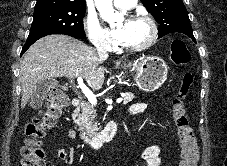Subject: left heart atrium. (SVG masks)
<instances>
[{
	"instance_id": "obj_1",
	"label": "left heart atrium",
	"mask_w": 227,
	"mask_h": 166,
	"mask_svg": "<svg viewBox=\"0 0 227 166\" xmlns=\"http://www.w3.org/2000/svg\"><path fill=\"white\" fill-rule=\"evenodd\" d=\"M128 33V22H124L118 27L111 29L110 34L112 38L117 42H124Z\"/></svg>"
}]
</instances>
